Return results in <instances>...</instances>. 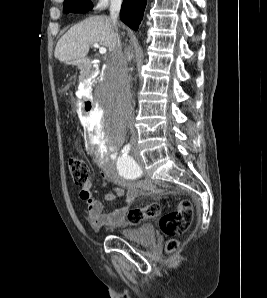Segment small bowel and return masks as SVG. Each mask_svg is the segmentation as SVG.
<instances>
[{"instance_id": "small-bowel-1", "label": "small bowel", "mask_w": 267, "mask_h": 298, "mask_svg": "<svg viewBox=\"0 0 267 298\" xmlns=\"http://www.w3.org/2000/svg\"><path fill=\"white\" fill-rule=\"evenodd\" d=\"M107 178L116 184L106 195V201L111 202L116 197H124L125 202L113 212L104 213L103 204L95 199L91 193L92 183L88 181L79 192V197L86 205V217L93 230L98 231L103 227L119 228L126 224V214L131 203L137 196L138 187L127 182L117 175L110 174ZM126 188V190L124 189Z\"/></svg>"}]
</instances>
